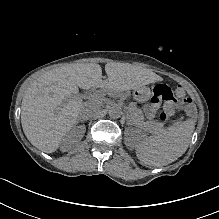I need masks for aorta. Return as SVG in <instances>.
I'll return each mask as SVG.
<instances>
[{
  "mask_svg": "<svg viewBox=\"0 0 219 219\" xmlns=\"http://www.w3.org/2000/svg\"><path fill=\"white\" fill-rule=\"evenodd\" d=\"M107 111H108L109 116L114 119L120 118L123 114L122 108L120 107V105H118L115 102L108 103Z\"/></svg>",
  "mask_w": 219,
  "mask_h": 219,
  "instance_id": "762f6f07",
  "label": "aorta"
}]
</instances>
